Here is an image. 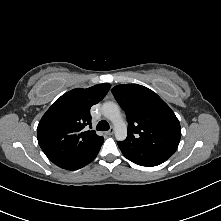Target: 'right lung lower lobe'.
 <instances>
[{
	"label": "right lung lower lobe",
	"mask_w": 221,
	"mask_h": 221,
	"mask_svg": "<svg viewBox=\"0 0 221 221\" xmlns=\"http://www.w3.org/2000/svg\"><path fill=\"white\" fill-rule=\"evenodd\" d=\"M101 146L88 158L86 159L82 164H80L77 168H75L74 170H77L79 168L84 167L85 165H87L88 163H90L92 160H94V158L97 156L99 150H100Z\"/></svg>",
	"instance_id": "98d812e1"
}]
</instances>
